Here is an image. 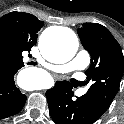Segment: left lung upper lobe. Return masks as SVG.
Returning a JSON list of instances; mask_svg holds the SVG:
<instances>
[{"mask_svg": "<svg viewBox=\"0 0 124 124\" xmlns=\"http://www.w3.org/2000/svg\"><path fill=\"white\" fill-rule=\"evenodd\" d=\"M83 47L91 55L85 72L91 86L83 95L93 115L99 119L116 96L124 70V56L110 31L98 23H84L78 29Z\"/></svg>", "mask_w": 124, "mask_h": 124, "instance_id": "5c2ea615", "label": "left lung upper lobe"}]
</instances>
